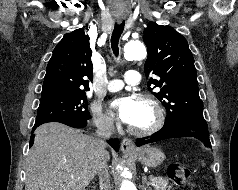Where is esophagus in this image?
Segmentation results:
<instances>
[{
  "instance_id": "1",
  "label": "esophagus",
  "mask_w": 238,
  "mask_h": 190,
  "mask_svg": "<svg viewBox=\"0 0 238 190\" xmlns=\"http://www.w3.org/2000/svg\"><path fill=\"white\" fill-rule=\"evenodd\" d=\"M135 149L136 148L132 139L126 137L122 139L121 150L123 152H133Z\"/></svg>"
}]
</instances>
